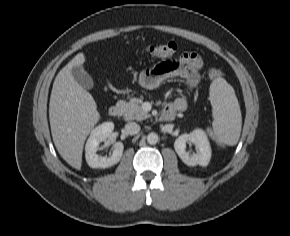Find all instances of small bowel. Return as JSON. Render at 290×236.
Instances as JSON below:
<instances>
[{
    "label": "small bowel",
    "mask_w": 290,
    "mask_h": 236,
    "mask_svg": "<svg viewBox=\"0 0 290 236\" xmlns=\"http://www.w3.org/2000/svg\"><path fill=\"white\" fill-rule=\"evenodd\" d=\"M203 61L199 54L186 52L172 61H164L152 68L142 71L137 79L138 85L146 89L158 88L169 79H182L190 88H195L200 82V71ZM187 107L185 97H178L168 102L164 109L183 111Z\"/></svg>",
    "instance_id": "obj_1"
}]
</instances>
